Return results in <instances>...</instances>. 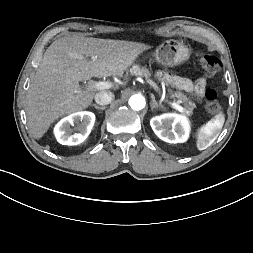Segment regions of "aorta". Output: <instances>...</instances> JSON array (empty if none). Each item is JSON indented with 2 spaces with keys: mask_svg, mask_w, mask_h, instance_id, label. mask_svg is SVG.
I'll use <instances>...</instances> for the list:
<instances>
[{
  "mask_svg": "<svg viewBox=\"0 0 253 253\" xmlns=\"http://www.w3.org/2000/svg\"><path fill=\"white\" fill-rule=\"evenodd\" d=\"M129 105L133 110L139 111L145 107V99L141 95H133L129 99Z\"/></svg>",
  "mask_w": 253,
  "mask_h": 253,
  "instance_id": "1",
  "label": "aorta"
}]
</instances>
